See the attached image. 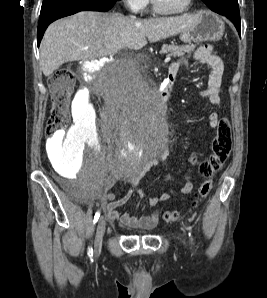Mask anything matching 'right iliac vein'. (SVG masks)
I'll list each match as a JSON object with an SVG mask.
<instances>
[{"instance_id":"1","label":"right iliac vein","mask_w":267,"mask_h":298,"mask_svg":"<svg viewBox=\"0 0 267 298\" xmlns=\"http://www.w3.org/2000/svg\"><path fill=\"white\" fill-rule=\"evenodd\" d=\"M105 228H106V221L103 217H101L97 224L96 236L94 240V254L96 256L99 255L101 252L102 240L105 233Z\"/></svg>"}]
</instances>
